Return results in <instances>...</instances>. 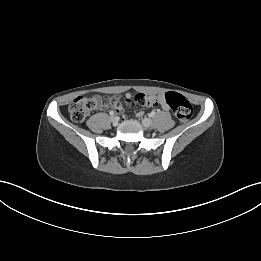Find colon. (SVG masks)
<instances>
[{"mask_svg":"<svg viewBox=\"0 0 261 261\" xmlns=\"http://www.w3.org/2000/svg\"><path fill=\"white\" fill-rule=\"evenodd\" d=\"M164 99L180 121L186 122L191 118L193 108L184 96L176 92H167ZM94 107V99L77 97L69 106L70 117L75 122H83Z\"/></svg>","mask_w":261,"mask_h":261,"instance_id":"colon-1","label":"colon"}]
</instances>
